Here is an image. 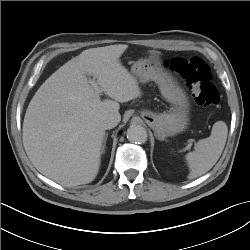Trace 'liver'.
<instances>
[{
    "label": "liver",
    "mask_w": 250,
    "mask_h": 250,
    "mask_svg": "<svg viewBox=\"0 0 250 250\" xmlns=\"http://www.w3.org/2000/svg\"><path fill=\"white\" fill-rule=\"evenodd\" d=\"M126 44L84 50L55 71L31 99L23 121V145L35 168L68 187L98 174L105 129L102 119H121L119 102L141 96L137 79L121 64ZM86 75L96 79L98 89ZM104 93L110 99L101 100Z\"/></svg>",
    "instance_id": "6515ba94"
}]
</instances>
